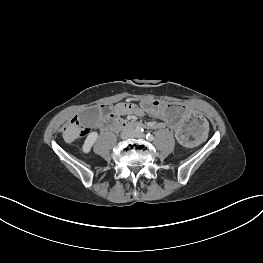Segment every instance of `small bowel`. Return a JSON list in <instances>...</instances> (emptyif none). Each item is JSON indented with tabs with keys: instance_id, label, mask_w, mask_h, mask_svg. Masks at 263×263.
Wrapping results in <instances>:
<instances>
[{
	"instance_id": "obj_1",
	"label": "small bowel",
	"mask_w": 263,
	"mask_h": 263,
	"mask_svg": "<svg viewBox=\"0 0 263 263\" xmlns=\"http://www.w3.org/2000/svg\"><path fill=\"white\" fill-rule=\"evenodd\" d=\"M114 112L116 115H127V114H132V115H137V116L143 115L142 108L138 107L135 104H131V103H119V104H117L114 107ZM166 126H168V125L164 124L163 122L152 125V127L155 129H162ZM168 127H170V126H168Z\"/></svg>"
}]
</instances>
